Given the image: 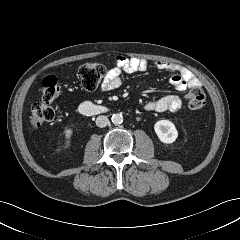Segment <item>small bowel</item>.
<instances>
[{"label": "small bowel", "mask_w": 240, "mask_h": 240, "mask_svg": "<svg viewBox=\"0 0 240 240\" xmlns=\"http://www.w3.org/2000/svg\"><path fill=\"white\" fill-rule=\"evenodd\" d=\"M153 66L158 71L172 73L170 83L178 91L183 92L188 88L200 86L199 80L189 70L177 64L167 61H156ZM149 67L150 65L146 60L118 55L115 57V66L107 72L101 84V90L104 92L114 90L121 85L124 74L144 72ZM181 104L182 100L179 95L170 94L147 101L144 108L148 111L174 112L181 107Z\"/></svg>", "instance_id": "obj_1"}]
</instances>
